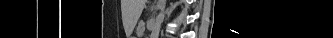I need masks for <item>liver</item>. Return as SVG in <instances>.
I'll use <instances>...</instances> for the list:
<instances>
[{
	"label": "liver",
	"instance_id": "6515ba94",
	"mask_svg": "<svg viewBox=\"0 0 333 38\" xmlns=\"http://www.w3.org/2000/svg\"><path fill=\"white\" fill-rule=\"evenodd\" d=\"M145 0H134L133 2V21H137L141 15Z\"/></svg>",
	"mask_w": 333,
	"mask_h": 38
}]
</instances>
